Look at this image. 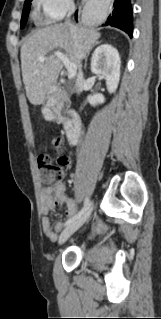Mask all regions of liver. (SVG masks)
<instances>
[{"label":"liver","instance_id":"liver-1","mask_svg":"<svg viewBox=\"0 0 161 319\" xmlns=\"http://www.w3.org/2000/svg\"><path fill=\"white\" fill-rule=\"evenodd\" d=\"M72 27L74 32L66 23L50 25L35 31L22 45V76L31 104L40 105L46 101L63 67L62 61L55 55L44 61H39L38 57L45 56L54 49H63L68 59L80 68L81 59L100 38L97 30L74 25Z\"/></svg>","mask_w":161,"mask_h":319}]
</instances>
